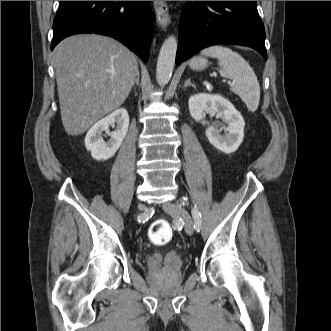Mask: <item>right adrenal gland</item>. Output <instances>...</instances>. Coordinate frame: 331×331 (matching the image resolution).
I'll return each instance as SVG.
<instances>
[{
	"label": "right adrenal gland",
	"instance_id": "obj_1",
	"mask_svg": "<svg viewBox=\"0 0 331 331\" xmlns=\"http://www.w3.org/2000/svg\"><path fill=\"white\" fill-rule=\"evenodd\" d=\"M139 85V74H137V77H136V79L134 80V83H133V87H134V85Z\"/></svg>",
	"mask_w": 331,
	"mask_h": 331
}]
</instances>
